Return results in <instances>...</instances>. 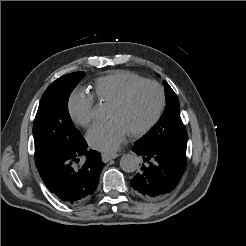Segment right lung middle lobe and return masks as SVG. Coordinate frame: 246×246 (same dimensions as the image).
<instances>
[{
    "mask_svg": "<svg viewBox=\"0 0 246 246\" xmlns=\"http://www.w3.org/2000/svg\"><path fill=\"white\" fill-rule=\"evenodd\" d=\"M85 76L84 72L64 75L44 92L35 116L33 136L35 161L57 151L72 148L82 137L68 111V99Z\"/></svg>",
    "mask_w": 246,
    "mask_h": 246,
    "instance_id": "right-lung-middle-lobe-1",
    "label": "right lung middle lobe"
}]
</instances>
